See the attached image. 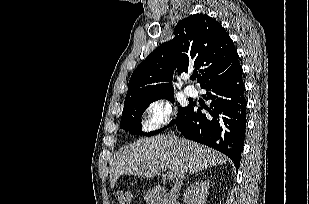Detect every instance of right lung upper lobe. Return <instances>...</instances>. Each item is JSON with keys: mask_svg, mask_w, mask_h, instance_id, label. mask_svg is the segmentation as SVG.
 Returning a JSON list of instances; mask_svg holds the SVG:
<instances>
[{"mask_svg": "<svg viewBox=\"0 0 309 204\" xmlns=\"http://www.w3.org/2000/svg\"><path fill=\"white\" fill-rule=\"evenodd\" d=\"M174 38L156 48L134 70L125 101L172 93L173 73L195 67L201 87L233 71L239 56L225 29L215 19L195 14L178 22ZM195 69V70H196Z\"/></svg>", "mask_w": 309, "mask_h": 204, "instance_id": "obj_1", "label": "right lung upper lobe"}]
</instances>
